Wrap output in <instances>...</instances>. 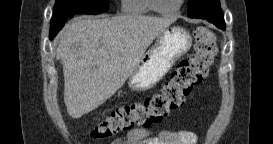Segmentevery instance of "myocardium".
<instances>
[{"label": "myocardium", "mask_w": 273, "mask_h": 144, "mask_svg": "<svg viewBox=\"0 0 273 144\" xmlns=\"http://www.w3.org/2000/svg\"><path fill=\"white\" fill-rule=\"evenodd\" d=\"M183 3H184V0H179L177 6L175 8L169 9V10H163L158 6V0H149V7L152 11H154L157 14L173 15L181 9Z\"/></svg>", "instance_id": "myocardium-1"}]
</instances>
